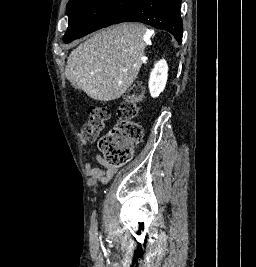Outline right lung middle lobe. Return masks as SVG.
<instances>
[{"label": "right lung middle lobe", "mask_w": 256, "mask_h": 267, "mask_svg": "<svg viewBox=\"0 0 256 267\" xmlns=\"http://www.w3.org/2000/svg\"><path fill=\"white\" fill-rule=\"evenodd\" d=\"M138 0H70L67 5L68 29L65 43L107 27L125 14Z\"/></svg>", "instance_id": "dd1d6c3e"}]
</instances>
